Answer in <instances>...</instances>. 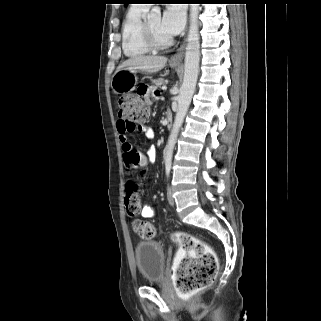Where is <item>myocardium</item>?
<instances>
[{"mask_svg":"<svg viewBox=\"0 0 321 321\" xmlns=\"http://www.w3.org/2000/svg\"><path fill=\"white\" fill-rule=\"evenodd\" d=\"M142 38L144 43L151 49V50H163L169 48L174 40L172 37L165 41H159L154 36L147 19L143 20L142 24Z\"/></svg>","mask_w":321,"mask_h":321,"instance_id":"f54148a6","label":"myocardium"}]
</instances>
